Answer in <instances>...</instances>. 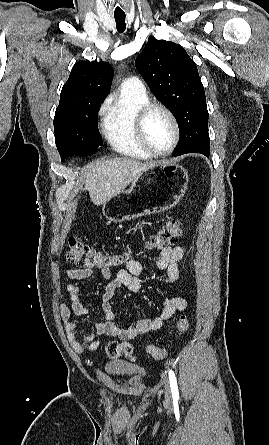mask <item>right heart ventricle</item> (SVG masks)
I'll return each mask as SVG.
<instances>
[{
	"instance_id": "right-heart-ventricle-1",
	"label": "right heart ventricle",
	"mask_w": 269,
	"mask_h": 445,
	"mask_svg": "<svg viewBox=\"0 0 269 445\" xmlns=\"http://www.w3.org/2000/svg\"><path fill=\"white\" fill-rule=\"evenodd\" d=\"M149 102L146 93L121 88L117 98L107 108L102 121L103 134L113 150L126 157L149 160L135 135V117L138 110Z\"/></svg>"
}]
</instances>
